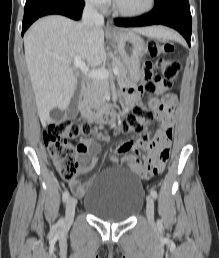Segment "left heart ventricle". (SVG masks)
Returning <instances> with one entry per match:
<instances>
[{"mask_svg":"<svg viewBox=\"0 0 219 258\" xmlns=\"http://www.w3.org/2000/svg\"><path fill=\"white\" fill-rule=\"evenodd\" d=\"M119 7L127 11H138L147 7L149 0H116Z\"/></svg>","mask_w":219,"mask_h":258,"instance_id":"b2bd125f","label":"left heart ventricle"}]
</instances>
